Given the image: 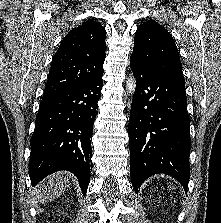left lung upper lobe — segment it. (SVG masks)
I'll return each instance as SVG.
<instances>
[{
  "label": "left lung upper lobe",
  "mask_w": 221,
  "mask_h": 223,
  "mask_svg": "<svg viewBox=\"0 0 221 223\" xmlns=\"http://www.w3.org/2000/svg\"><path fill=\"white\" fill-rule=\"evenodd\" d=\"M130 59L154 72L184 80L174 39L154 20L143 23L137 29Z\"/></svg>",
  "instance_id": "5c2ea615"
}]
</instances>
